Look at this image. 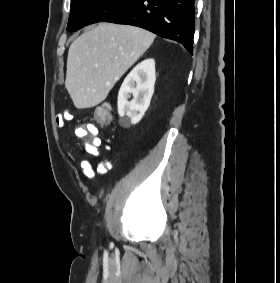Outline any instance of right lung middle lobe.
Instances as JSON below:
<instances>
[{"label": "right lung middle lobe", "mask_w": 280, "mask_h": 283, "mask_svg": "<svg viewBox=\"0 0 280 283\" xmlns=\"http://www.w3.org/2000/svg\"><path fill=\"white\" fill-rule=\"evenodd\" d=\"M132 0H71L67 30L101 22Z\"/></svg>", "instance_id": "right-lung-middle-lobe-1"}]
</instances>
